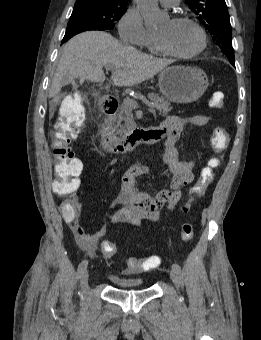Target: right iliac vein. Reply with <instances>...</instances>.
Here are the masks:
<instances>
[{"label": "right iliac vein", "instance_id": "1", "mask_svg": "<svg viewBox=\"0 0 261 340\" xmlns=\"http://www.w3.org/2000/svg\"><path fill=\"white\" fill-rule=\"evenodd\" d=\"M88 279H89V272L87 270L84 271L81 278V289L84 295L88 293Z\"/></svg>", "mask_w": 261, "mask_h": 340}]
</instances>
